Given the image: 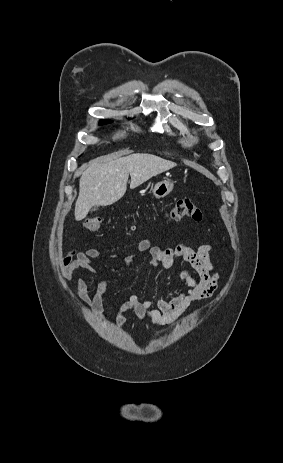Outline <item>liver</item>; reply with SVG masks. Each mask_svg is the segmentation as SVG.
Listing matches in <instances>:
<instances>
[{
	"label": "liver",
	"instance_id": "1",
	"mask_svg": "<svg viewBox=\"0 0 283 463\" xmlns=\"http://www.w3.org/2000/svg\"><path fill=\"white\" fill-rule=\"evenodd\" d=\"M177 166L152 154L136 153L108 161L93 160L81 168L75 219L83 220L94 206H107L121 199L127 189H134L150 178Z\"/></svg>",
	"mask_w": 283,
	"mask_h": 463
}]
</instances>
